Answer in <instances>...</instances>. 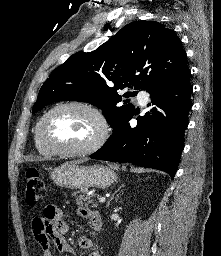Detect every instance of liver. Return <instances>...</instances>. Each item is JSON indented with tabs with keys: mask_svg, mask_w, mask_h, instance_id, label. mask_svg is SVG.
Instances as JSON below:
<instances>
[{
	"mask_svg": "<svg viewBox=\"0 0 221 256\" xmlns=\"http://www.w3.org/2000/svg\"><path fill=\"white\" fill-rule=\"evenodd\" d=\"M82 161H72V162H70V163H76V164H80Z\"/></svg>",
	"mask_w": 221,
	"mask_h": 256,
	"instance_id": "6515ba94",
	"label": "liver"
}]
</instances>
